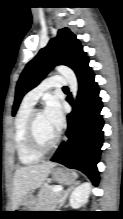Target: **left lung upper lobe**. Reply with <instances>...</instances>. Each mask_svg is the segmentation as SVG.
Segmentation results:
<instances>
[{
  "mask_svg": "<svg viewBox=\"0 0 123 219\" xmlns=\"http://www.w3.org/2000/svg\"><path fill=\"white\" fill-rule=\"evenodd\" d=\"M86 53L68 28L60 29L48 45L25 66L17 82L12 114L15 115L23 96L36 87L56 65H67L74 71L87 60Z\"/></svg>",
  "mask_w": 123,
  "mask_h": 219,
  "instance_id": "5c2ea615",
  "label": "left lung upper lobe"
}]
</instances>
